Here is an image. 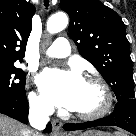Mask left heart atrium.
I'll use <instances>...</instances> for the list:
<instances>
[{
	"mask_svg": "<svg viewBox=\"0 0 136 136\" xmlns=\"http://www.w3.org/2000/svg\"><path fill=\"white\" fill-rule=\"evenodd\" d=\"M85 81L76 71L46 69L39 77V86L45 97L54 105L76 110Z\"/></svg>",
	"mask_w": 136,
	"mask_h": 136,
	"instance_id": "left-heart-atrium-1",
	"label": "left heart atrium"
}]
</instances>
